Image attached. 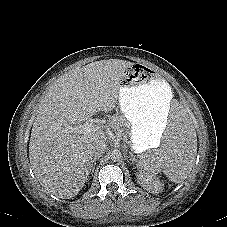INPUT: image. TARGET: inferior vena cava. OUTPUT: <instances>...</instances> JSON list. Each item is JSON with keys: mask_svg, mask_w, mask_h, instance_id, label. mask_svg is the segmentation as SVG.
Listing matches in <instances>:
<instances>
[{"mask_svg": "<svg viewBox=\"0 0 227 227\" xmlns=\"http://www.w3.org/2000/svg\"><path fill=\"white\" fill-rule=\"evenodd\" d=\"M105 150H106V143L105 141L100 140V141H97L95 144H93L91 152L94 157L99 158L104 154Z\"/></svg>", "mask_w": 227, "mask_h": 227, "instance_id": "inferior-vena-cava-1", "label": "inferior vena cava"}]
</instances>
